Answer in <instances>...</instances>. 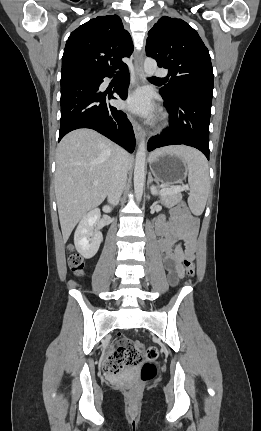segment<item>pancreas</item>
I'll use <instances>...</instances> for the list:
<instances>
[{
	"mask_svg": "<svg viewBox=\"0 0 261 431\" xmlns=\"http://www.w3.org/2000/svg\"><path fill=\"white\" fill-rule=\"evenodd\" d=\"M161 201L166 207H172L182 201V194L180 191L175 193H163Z\"/></svg>",
	"mask_w": 261,
	"mask_h": 431,
	"instance_id": "pancreas-1",
	"label": "pancreas"
}]
</instances>
